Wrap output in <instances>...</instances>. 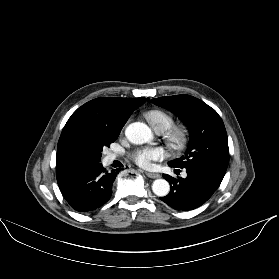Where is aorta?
Listing matches in <instances>:
<instances>
[{
  "label": "aorta",
  "instance_id": "762f6f07",
  "mask_svg": "<svg viewBox=\"0 0 279 279\" xmlns=\"http://www.w3.org/2000/svg\"><path fill=\"white\" fill-rule=\"evenodd\" d=\"M125 135L134 144H144L153 138L151 129L141 122H134L128 125L125 130ZM152 190L157 196L164 197L168 195L170 185L165 179H157L152 184Z\"/></svg>",
  "mask_w": 279,
  "mask_h": 279
}]
</instances>
